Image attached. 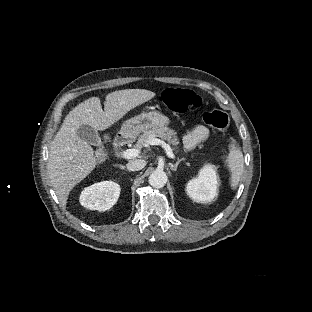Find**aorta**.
<instances>
[{
	"mask_svg": "<svg viewBox=\"0 0 312 312\" xmlns=\"http://www.w3.org/2000/svg\"><path fill=\"white\" fill-rule=\"evenodd\" d=\"M167 182V175L164 171L155 170L149 176V184L154 188H162Z\"/></svg>",
	"mask_w": 312,
	"mask_h": 312,
	"instance_id": "obj_1",
	"label": "aorta"
}]
</instances>
